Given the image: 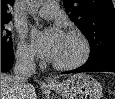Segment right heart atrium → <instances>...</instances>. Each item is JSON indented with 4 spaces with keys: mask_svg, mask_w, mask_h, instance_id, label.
I'll return each instance as SVG.
<instances>
[{
    "mask_svg": "<svg viewBox=\"0 0 115 99\" xmlns=\"http://www.w3.org/2000/svg\"><path fill=\"white\" fill-rule=\"evenodd\" d=\"M17 60L25 65H30L34 62V53L23 39H19L16 47Z\"/></svg>",
    "mask_w": 115,
    "mask_h": 99,
    "instance_id": "right-heart-atrium-1",
    "label": "right heart atrium"
}]
</instances>
